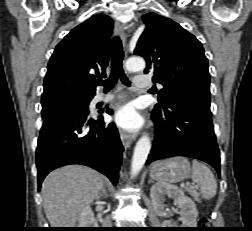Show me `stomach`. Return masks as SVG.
<instances>
[{
	"mask_svg": "<svg viewBox=\"0 0 252 231\" xmlns=\"http://www.w3.org/2000/svg\"><path fill=\"white\" fill-rule=\"evenodd\" d=\"M190 174V164L185 157H174L171 159L156 162L150 169L152 179L176 183Z\"/></svg>",
	"mask_w": 252,
	"mask_h": 231,
	"instance_id": "0dacf381",
	"label": "stomach"
}]
</instances>
